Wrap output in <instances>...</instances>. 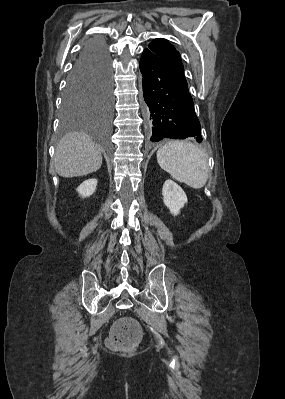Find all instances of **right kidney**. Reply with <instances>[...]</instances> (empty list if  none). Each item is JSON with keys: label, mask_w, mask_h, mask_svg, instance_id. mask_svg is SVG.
Segmentation results:
<instances>
[{"label": "right kidney", "mask_w": 285, "mask_h": 399, "mask_svg": "<svg viewBox=\"0 0 285 399\" xmlns=\"http://www.w3.org/2000/svg\"><path fill=\"white\" fill-rule=\"evenodd\" d=\"M96 186H97L96 179H88L85 180L80 186H78L77 192L83 198L89 197L95 192Z\"/></svg>", "instance_id": "1"}]
</instances>
